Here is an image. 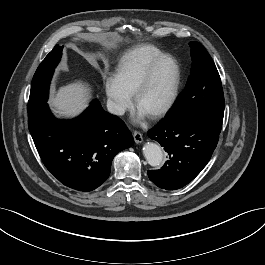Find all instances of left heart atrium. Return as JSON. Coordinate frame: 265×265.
I'll return each instance as SVG.
<instances>
[{"label": "left heart atrium", "instance_id": "left-heart-atrium-1", "mask_svg": "<svg viewBox=\"0 0 265 265\" xmlns=\"http://www.w3.org/2000/svg\"><path fill=\"white\" fill-rule=\"evenodd\" d=\"M145 113H143V112H141V111H137V116L139 117V118H143V117H145Z\"/></svg>", "mask_w": 265, "mask_h": 265}]
</instances>
